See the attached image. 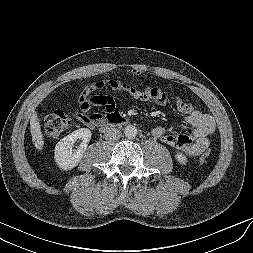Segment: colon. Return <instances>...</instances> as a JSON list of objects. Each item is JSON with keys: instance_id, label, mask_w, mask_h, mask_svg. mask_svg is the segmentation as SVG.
Returning <instances> with one entry per match:
<instances>
[{"instance_id": "5ec220e1", "label": "colon", "mask_w": 253, "mask_h": 253, "mask_svg": "<svg viewBox=\"0 0 253 253\" xmlns=\"http://www.w3.org/2000/svg\"><path fill=\"white\" fill-rule=\"evenodd\" d=\"M109 117V116H107ZM71 126L70 117L64 112L57 111L49 114L44 122V131L46 135L57 137L67 131ZM212 155L211 150H207L200 157V161L206 162Z\"/></svg>"}]
</instances>
